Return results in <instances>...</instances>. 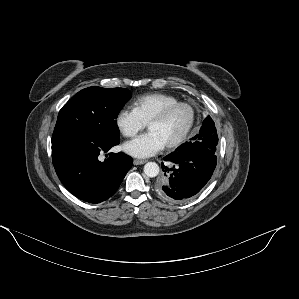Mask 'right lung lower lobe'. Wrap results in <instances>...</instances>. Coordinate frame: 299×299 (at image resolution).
<instances>
[{"instance_id": "1", "label": "right lung lower lobe", "mask_w": 299, "mask_h": 299, "mask_svg": "<svg viewBox=\"0 0 299 299\" xmlns=\"http://www.w3.org/2000/svg\"><path fill=\"white\" fill-rule=\"evenodd\" d=\"M119 141L76 137L52 144V161L63 185L77 198L90 203H100L110 198L118 189L132 167L130 156L109 153L104 162L99 160Z\"/></svg>"}]
</instances>
